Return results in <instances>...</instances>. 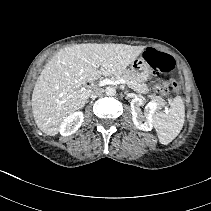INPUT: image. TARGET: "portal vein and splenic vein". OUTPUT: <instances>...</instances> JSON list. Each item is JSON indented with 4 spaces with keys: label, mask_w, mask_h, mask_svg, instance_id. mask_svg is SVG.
<instances>
[{
    "label": "portal vein and splenic vein",
    "mask_w": 211,
    "mask_h": 211,
    "mask_svg": "<svg viewBox=\"0 0 211 211\" xmlns=\"http://www.w3.org/2000/svg\"><path fill=\"white\" fill-rule=\"evenodd\" d=\"M125 84L126 83V81L124 80V79H118V80H116V81H112V80H110V79H104V80H102V81H100L99 82V86H105V85H109V84ZM166 111H168V109L166 108L165 109Z\"/></svg>",
    "instance_id": "portal-vein-and-splenic-vein-1"
}]
</instances>
